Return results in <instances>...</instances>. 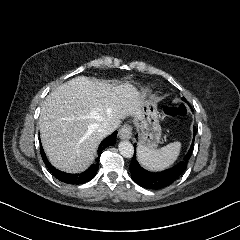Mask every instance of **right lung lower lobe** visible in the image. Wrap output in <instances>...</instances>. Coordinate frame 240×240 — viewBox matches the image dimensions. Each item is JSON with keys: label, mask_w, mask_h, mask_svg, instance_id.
<instances>
[{"label": "right lung lower lobe", "mask_w": 240, "mask_h": 240, "mask_svg": "<svg viewBox=\"0 0 240 240\" xmlns=\"http://www.w3.org/2000/svg\"><path fill=\"white\" fill-rule=\"evenodd\" d=\"M116 136H117V131H115L112 135L108 136L101 142V144L98 148V157L96 158L95 163L92 164L89 167V169H87L86 171H84L80 174H70V173H65L60 170H57L48 161L42 146L40 148V153H41L42 159H43L44 163L46 164V166L48 167L49 171L59 181H61L63 183H67V184H75V185L83 184V183L90 181L92 178H94V176L96 175V173L98 171L99 156H100L101 152L106 147L115 144Z\"/></svg>", "instance_id": "98d812e1"}]
</instances>
